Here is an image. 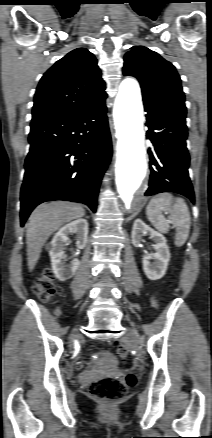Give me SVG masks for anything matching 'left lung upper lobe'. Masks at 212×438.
I'll use <instances>...</instances> for the list:
<instances>
[{"label": "left lung upper lobe", "mask_w": 212, "mask_h": 438, "mask_svg": "<svg viewBox=\"0 0 212 438\" xmlns=\"http://www.w3.org/2000/svg\"><path fill=\"white\" fill-rule=\"evenodd\" d=\"M124 75L136 77L144 104L186 115L185 97L175 67L143 46H133L124 57Z\"/></svg>", "instance_id": "left-lung-upper-lobe-1"}]
</instances>
